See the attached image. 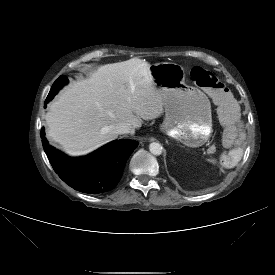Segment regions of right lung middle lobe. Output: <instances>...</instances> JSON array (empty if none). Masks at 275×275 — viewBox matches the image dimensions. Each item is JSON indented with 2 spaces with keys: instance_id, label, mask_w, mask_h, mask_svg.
<instances>
[{
  "instance_id": "right-lung-middle-lobe-1",
  "label": "right lung middle lobe",
  "mask_w": 275,
  "mask_h": 275,
  "mask_svg": "<svg viewBox=\"0 0 275 275\" xmlns=\"http://www.w3.org/2000/svg\"><path fill=\"white\" fill-rule=\"evenodd\" d=\"M68 82V79L66 76L62 75L60 76L53 84V86L51 87V90L47 96V99L45 101V104H47L49 102V100H51L56 93L59 91V89Z\"/></svg>"
}]
</instances>
